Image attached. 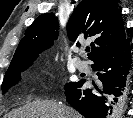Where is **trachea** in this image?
Segmentation results:
<instances>
[{"mask_svg":"<svg viewBox=\"0 0 133 118\" xmlns=\"http://www.w3.org/2000/svg\"><path fill=\"white\" fill-rule=\"evenodd\" d=\"M90 51V48H86V52H89Z\"/></svg>","mask_w":133,"mask_h":118,"instance_id":"trachea-1","label":"trachea"}]
</instances>
